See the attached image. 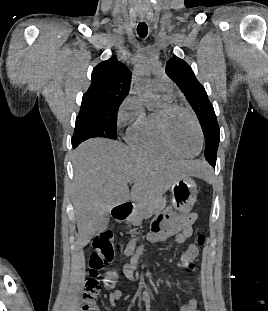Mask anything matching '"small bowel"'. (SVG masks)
Returning <instances> with one entry per match:
<instances>
[{
  "mask_svg": "<svg viewBox=\"0 0 268 311\" xmlns=\"http://www.w3.org/2000/svg\"><path fill=\"white\" fill-rule=\"evenodd\" d=\"M197 215L191 213L187 216L176 218L171 215H162L154 223L151 232L144 236L148 243L165 242L173 239L176 243L182 244L193 235L192 225ZM139 239L131 240L125 247L123 264V274L132 282H137L136 273L140 258L144 254L146 243L138 244ZM122 296L120 291H113L110 294L112 302L120 299ZM142 301L146 311H151V293L148 288H144L141 292ZM201 304L197 299L191 298L186 304H182L179 311H197Z\"/></svg>",
  "mask_w": 268,
  "mask_h": 311,
  "instance_id": "obj_1",
  "label": "small bowel"
}]
</instances>
